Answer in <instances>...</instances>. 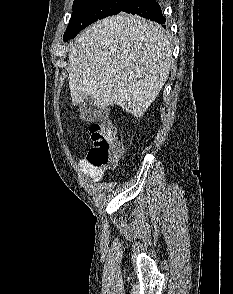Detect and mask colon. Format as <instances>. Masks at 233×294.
I'll return each instance as SVG.
<instances>
[{
    "mask_svg": "<svg viewBox=\"0 0 233 294\" xmlns=\"http://www.w3.org/2000/svg\"><path fill=\"white\" fill-rule=\"evenodd\" d=\"M89 132L92 147L86 160L92 167L105 170L117 161L122 152L115 127L110 122H93L89 126Z\"/></svg>",
    "mask_w": 233,
    "mask_h": 294,
    "instance_id": "5ec220e1",
    "label": "colon"
}]
</instances>
